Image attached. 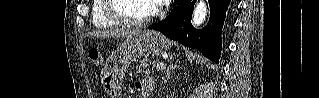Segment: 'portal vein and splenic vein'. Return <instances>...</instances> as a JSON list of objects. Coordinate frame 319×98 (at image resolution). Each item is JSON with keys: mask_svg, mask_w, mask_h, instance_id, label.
Wrapping results in <instances>:
<instances>
[{"mask_svg": "<svg viewBox=\"0 0 319 98\" xmlns=\"http://www.w3.org/2000/svg\"><path fill=\"white\" fill-rule=\"evenodd\" d=\"M157 70H165L166 69V64L165 63H158L156 65Z\"/></svg>", "mask_w": 319, "mask_h": 98, "instance_id": "1", "label": "portal vein and splenic vein"}]
</instances>
